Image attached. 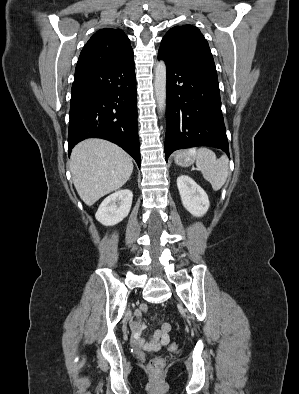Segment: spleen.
<instances>
[{"instance_id":"spleen-1","label":"spleen","mask_w":299,"mask_h":394,"mask_svg":"<svg viewBox=\"0 0 299 394\" xmlns=\"http://www.w3.org/2000/svg\"><path fill=\"white\" fill-rule=\"evenodd\" d=\"M189 153L196 156V166L203 177L218 191L226 182L229 172V160L226 156L216 159L215 153L208 148L192 149Z\"/></svg>"}]
</instances>
